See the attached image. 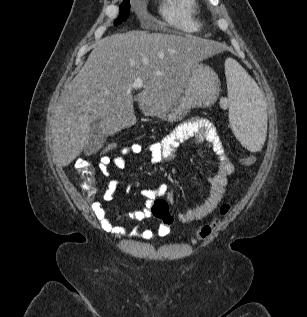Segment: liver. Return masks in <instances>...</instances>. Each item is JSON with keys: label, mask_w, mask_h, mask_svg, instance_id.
Instances as JSON below:
<instances>
[{"label": "liver", "mask_w": 307, "mask_h": 317, "mask_svg": "<svg viewBox=\"0 0 307 317\" xmlns=\"http://www.w3.org/2000/svg\"><path fill=\"white\" fill-rule=\"evenodd\" d=\"M222 54L220 44L193 35L135 31L99 40L61 94L52 125L55 157L68 166L82 152L96 119L109 136L134 125L135 100L145 116L167 109L186 87L192 66ZM138 77L144 85L134 99L131 85Z\"/></svg>", "instance_id": "obj_1"}]
</instances>
